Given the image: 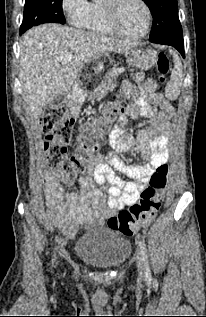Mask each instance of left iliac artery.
Instances as JSON below:
<instances>
[{
  "label": "left iliac artery",
  "mask_w": 206,
  "mask_h": 317,
  "mask_svg": "<svg viewBox=\"0 0 206 317\" xmlns=\"http://www.w3.org/2000/svg\"><path fill=\"white\" fill-rule=\"evenodd\" d=\"M139 246L141 249V254H142L143 259L145 261V275L147 278H151L150 268L148 265V255H147L146 245L144 244V242H140Z\"/></svg>",
  "instance_id": "1"
}]
</instances>
